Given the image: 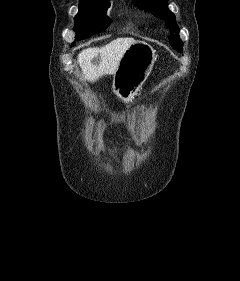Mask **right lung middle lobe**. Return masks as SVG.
<instances>
[{"label": "right lung middle lobe", "mask_w": 240, "mask_h": 281, "mask_svg": "<svg viewBox=\"0 0 240 281\" xmlns=\"http://www.w3.org/2000/svg\"><path fill=\"white\" fill-rule=\"evenodd\" d=\"M109 7V0H80L79 12L74 18L76 40L105 30L110 24V18L106 15Z\"/></svg>", "instance_id": "1"}]
</instances>
